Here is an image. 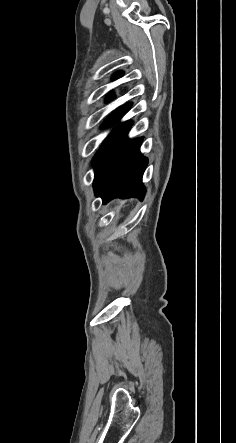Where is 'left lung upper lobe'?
Wrapping results in <instances>:
<instances>
[{"instance_id":"obj_1","label":"left lung upper lobe","mask_w":236,"mask_h":443,"mask_svg":"<svg viewBox=\"0 0 236 443\" xmlns=\"http://www.w3.org/2000/svg\"><path fill=\"white\" fill-rule=\"evenodd\" d=\"M122 74H123V73H122L121 71H120V72H116V73L113 75V78H114V79H117V78L121 77ZM113 98H114V96H113L112 94L108 96V100L113 99Z\"/></svg>"}]
</instances>
